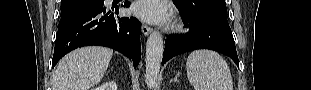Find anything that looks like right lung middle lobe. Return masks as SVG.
Returning <instances> with one entry per match:
<instances>
[{"label": "right lung middle lobe", "mask_w": 311, "mask_h": 90, "mask_svg": "<svg viewBox=\"0 0 311 90\" xmlns=\"http://www.w3.org/2000/svg\"><path fill=\"white\" fill-rule=\"evenodd\" d=\"M104 0H62L61 16L90 6L103 5Z\"/></svg>", "instance_id": "right-lung-middle-lobe-1"}]
</instances>
